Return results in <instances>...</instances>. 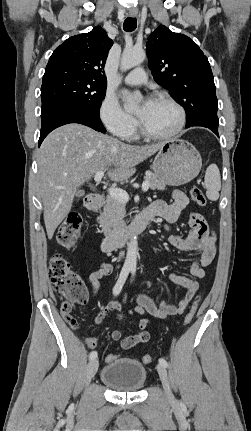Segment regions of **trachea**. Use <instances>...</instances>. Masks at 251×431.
<instances>
[{
    "label": "trachea",
    "mask_w": 251,
    "mask_h": 431,
    "mask_svg": "<svg viewBox=\"0 0 251 431\" xmlns=\"http://www.w3.org/2000/svg\"><path fill=\"white\" fill-rule=\"evenodd\" d=\"M136 27H137V20H136V18H134V17H128V18H126V20L124 21V24H123V29L126 32H132V31H134L136 29Z\"/></svg>",
    "instance_id": "3493384b"
}]
</instances>
